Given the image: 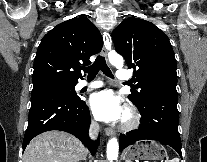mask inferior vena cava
Instances as JSON below:
<instances>
[{"mask_svg":"<svg viewBox=\"0 0 207 162\" xmlns=\"http://www.w3.org/2000/svg\"><path fill=\"white\" fill-rule=\"evenodd\" d=\"M99 125L97 123L92 122L89 127V137L91 139H96L99 134Z\"/></svg>","mask_w":207,"mask_h":162,"instance_id":"obj_1","label":"inferior vena cava"}]
</instances>
